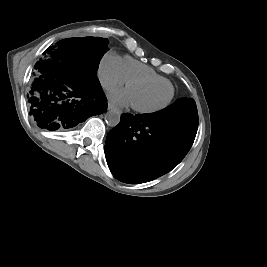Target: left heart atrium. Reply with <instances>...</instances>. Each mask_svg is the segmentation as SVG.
<instances>
[{
  "mask_svg": "<svg viewBox=\"0 0 267 267\" xmlns=\"http://www.w3.org/2000/svg\"><path fill=\"white\" fill-rule=\"evenodd\" d=\"M109 99L117 106H126L131 104L128 89H114L108 94Z\"/></svg>",
  "mask_w": 267,
  "mask_h": 267,
  "instance_id": "39dd6f15",
  "label": "left heart atrium"
}]
</instances>
